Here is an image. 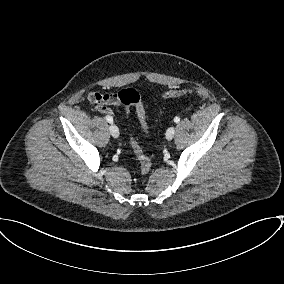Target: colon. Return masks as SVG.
I'll return each mask as SVG.
<instances>
[{"mask_svg": "<svg viewBox=\"0 0 284 284\" xmlns=\"http://www.w3.org/2000/svg\"><path fill=\"white\" fill-rule=\"evenodd\" d=\"M189 93H191V90L189 89H173L166 92L163 95V98L170 99ZM118 99L121 105L125 108L126 112L129 106L135 107V111L142 130L145 133H148L149 130L146 121V112L138 91L133 88L124 89L118 93ZM129 145L133 154L139 162L141 173L147 174L150 171L152 165L150 158L143 152L139 144L133 138L129 140Z\"/></svg>", "mask_w": 284, "mask_h": 284, "instance_id": "obj_1", "label": "colon"}]
</instances>
